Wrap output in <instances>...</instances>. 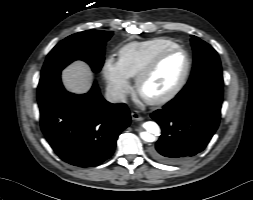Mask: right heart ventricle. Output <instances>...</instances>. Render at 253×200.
Wrapping results in <instances>:
<instances>
[{
    "label": "right heart ventricle",
    "instance_id": "obj_1",
    "mask_svg": "<svg viewBox=\"0 0 253 200\" xmlns=\"http://www.w3.org/2000/svg\"><path fill=\"white\" fill-rule=\"evenodd\" d=\"M175 46L167 38L130 42L120 48L118 61L128 77H135L159 52Z\"/></svg>",
    "mask_w": 253,
    "mask_h": 200
}]
</instances>
